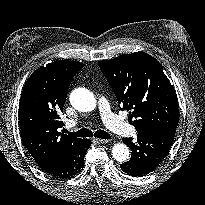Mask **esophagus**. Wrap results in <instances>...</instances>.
<instances>
[{
  "label": "esophagus",
  "mask_w": 205,
  "mask_h": 205,
  "mask_svg": "<svg viewBox=\"0 0 205 205\" xmlns=\"http://www.w3.org/2000/svg\"><path fill=\"white\" fill-rule=\"evenodd\" d=\"M98 143L107 144L109 142L108 139H96Z\"/></svg>",
  "instance_id": "34e87169"
}]
</instances>
